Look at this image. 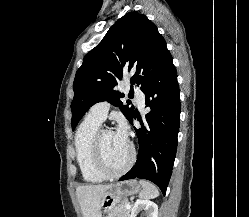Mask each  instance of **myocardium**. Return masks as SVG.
<instances>
[{"mask_svg":"<svg viewBox=\"0 0 249 217\" xmlns=\"http://www.w3.org/2000/svg\"><path fill=\"white\" fill-rule=\"evenodd\" d=\"M105 132H113L111 129L108 128H100L93 140V151H94V161L97 169L99 170L100 173H102L105 177L108 178H117L120 177L121 175L125 174L133 165L136 157L135 153V148L134 145L131 142H128L129 146V158L126 162V164L118 169V170H112L104 156L103 152V146H102V137Z\"/></svg>","mask_w":249,"mask_h":217,"instance_id":"obj_1","label":"myocardium"}]
</instances>
